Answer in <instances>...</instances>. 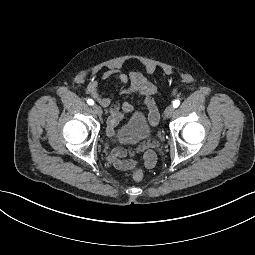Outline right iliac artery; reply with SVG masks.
<instances>
[{"label": "right iliac artery", "instance_id": "right-iliac-artery-1", "mask_svg": "<svg viewBox=\"0 0 255 255\" xmlns=\"http://www.w3.org/2000/svg\"><path fill=\"white\" fill-rule=\"evenodd\" d=\"M87 103H88L89 105H93V104H94V101H93L92 99H88V100H87Z\"/></svg>", "mask_w": 255, "mask_h": 255}]
</instances>
